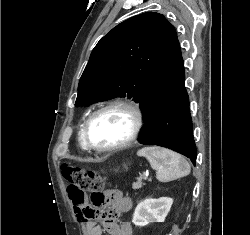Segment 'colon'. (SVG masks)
<instances>
[{
	"label": "colon",
	"mask_w": 250,
	"mask_h": 235,
	"mask_svg": "<svg viewBox=\"0 0 250 235\" xmlns=\"http://www.w3.org/2000/svg\"><path fill=\"white\" fill-rule=\"evenodd\" d=\"M62 173L68 183L69 199L74 206L83 205L88 197L93 208L101 206L108 200L104 178L99 173L84 170L74 164H64ZM89 217L95 218L96 211L93 210Z\"/></svg>",
	"instance_id": "colon-1"
}]
</instances>
